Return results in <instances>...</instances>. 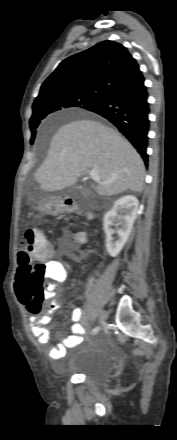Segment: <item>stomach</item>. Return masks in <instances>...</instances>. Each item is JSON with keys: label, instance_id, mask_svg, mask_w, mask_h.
<instances>
[{"label": "stomach", "instance_id": "0dacf381", "mask_svg": "<svg viewBox=\"0 0 177 440\" xmlns=\"http://www.w3.org/2000/svg\"><path fill=\"white\" fill-rule=\"evenodd\" d=\"M60 204L54 197L43 199L37 203V209L43 213H56L60 211Z\"/></svg>", "mask_w": 177, "mask_h": 440}]
</instances>
